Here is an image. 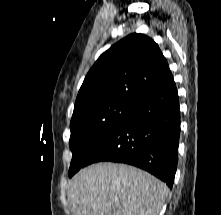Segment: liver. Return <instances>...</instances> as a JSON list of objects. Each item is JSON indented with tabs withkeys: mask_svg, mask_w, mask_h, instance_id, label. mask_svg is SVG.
Listing matches in <instances>:
<instances>
[{
	"mask_svg": "<svg viewBox=\"0 0 221 215\" xmlns=\"http://www.w3.org/2000/svg\"><path fill=\"white\" fill-rule=\"evenodd\" d=\"M168 187L125 164L98 163L80 170L68 185L73 215H158Z\"/></svg>",
	"mask_w": 221,
	"mask_h": 215,
	"instance_id": "6515ba94",
	"label": "liver"
}]
</instances>
